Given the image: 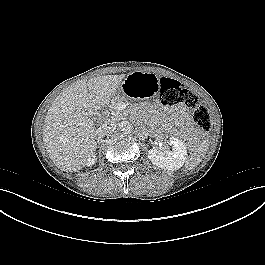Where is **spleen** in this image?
<instances>
[{
  "mask_svg": "<svg viewBox=\"0 0 265 265\" xmlns=\"http://www.w3.org/2000/svg\"><path fill=\"white\" fill-rule=\"evenodd\" d=\"M209 149L208 141H203L186 160V168L192 169L200 164Z\"/></svg>",
  "mask_w": 265,
  "mask_h": 265,
  "instance_id": "1",
  "label": "spleen"
}]
</instances>
